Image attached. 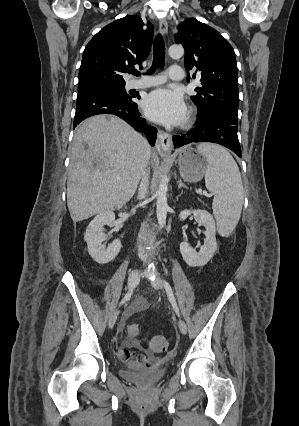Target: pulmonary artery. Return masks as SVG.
Segmentation results:
<instances>
[{
  "instance_id": "1",
  "label": "pulmonary artery",
  "mask_w": 299,
  "mask_h": 426,
  "mask_svg": "<svg viewBox=\"0 0 299 426\" xmlns=\"http://www.w3.org/2000/svg\"><path fill=\"white\" fill-rule=\"evenodd\" d=\"M184 78L183 69L178 65H172L166 73L153 76H145L131 83L132 88H147L164 83L167 79L180 81Z\"/></svg>"
}]
</instances>
